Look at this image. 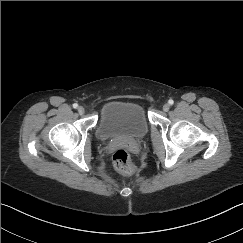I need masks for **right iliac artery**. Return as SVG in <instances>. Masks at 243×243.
Returning <instances> with one entry per match:
<instances>
[{"label": "right iliac artery", "instance_id": "82829eb1", "mask_svg": "<svg viewBox=\"0 0 243 243\" xmlns=\"http://www.w3.org/2000/svg\"><path fill=\"white\" fill-rule=\"evenodd\" d=\"M77 107H78V104H77V103H74V104H73V108L76 109Z\"/></svg>", "mask_w": 243, "mask_h": 243}]
</instances>
